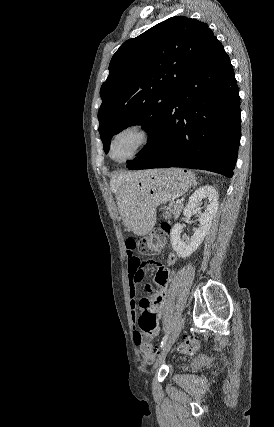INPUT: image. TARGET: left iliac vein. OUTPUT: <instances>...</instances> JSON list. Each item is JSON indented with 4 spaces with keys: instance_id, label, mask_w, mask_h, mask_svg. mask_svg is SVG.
<instances>
[{
    "instance_id": "obj_1",
    "label": "left iliac vein",
    "mask_w": 274,
    "mask_h": 427,
    "mask_svg": "<svg viewBox=\"0 0 274 427\" xmlns=\"http://www.w3.org/2000/svg\"><path fill=\"white\" fill-rule=\"evenodd\" d=\"M184 324H185V317L181 316L177 322V325H176L173 333L171 334L168 341L164 345L162 351L160 352L159 357L156 359L153 370L157 371L158 368L164 363V360H165L167 354L169 353L171 347L173 346L176 339L178 338L181 330L184 327Z\"/></svg>"
}]
</instances>
